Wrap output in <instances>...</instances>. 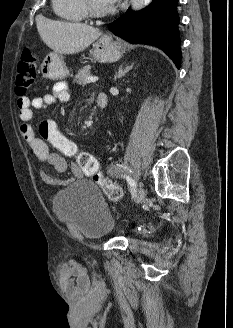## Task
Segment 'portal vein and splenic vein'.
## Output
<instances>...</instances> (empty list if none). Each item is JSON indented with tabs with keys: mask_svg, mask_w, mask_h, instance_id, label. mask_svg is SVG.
<instances>
[{
	"mask_svg": "<svg viewBox=\"0 0 233 328\" xmlns=\"http://www.w3.org/2000/svg\"><path fill=\"white\" fill-rule=\"evenodd\" d=\"M96 81H98V77L89 76L86 79L87 83L96 82Z\"/></svg>",
	"mask_w": 233,
	"mask_h": 328,
	"instance_id": "portal-vein-and-splenic-vein-1",
	"label": "portal vein and splenic vein"
}]
</instances>
